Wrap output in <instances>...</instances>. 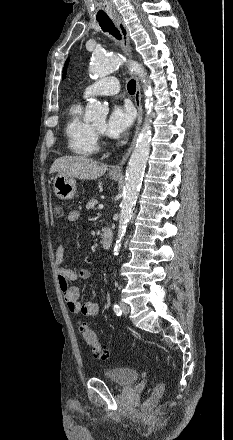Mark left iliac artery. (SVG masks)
Segmentation results:
<instances>
[{"instance_id": "1", "label": "left iliac artery", "mask_w": 233, "mask_h": 440, "mask_svg": "<svg viewBox=\"0 0 233 440\" xmlns=\"http://www.w3.org/2000/svg\"><path fill=\"white\" fill-rule=\"evenodd\" d=\"M113 310H114V312L116 313L117 316H120L122 314V311H121L119 305H117V304H114Z\"/></svg>"}]
</instances>
